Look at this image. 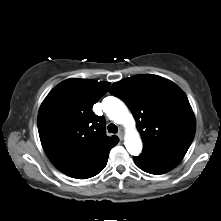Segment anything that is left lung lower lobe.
Instances as JSON below:
<instances>
[{
	"mask_svg": "<svg viewBox=\"0 0 221 221\" xmlns=\"http://www.w3.org/2000/svg\"><path fill=\"white\" fill-rule=\"evenodd\" d=\"M183 151L161 154L142 153L134 157L135 164L143 171L150 174H163L173 169L184 157Z\"/></svg>",
	"mask_w": 221,
	"mask_h": 221,
	"instance_id": "0a47b994",
	"label": "left lung lower lobe"
}]
</instances>
